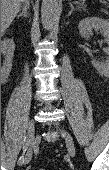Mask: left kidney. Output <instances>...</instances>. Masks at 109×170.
<instances>
[{
    "instance_id": "5707ae66",
    "label": "left kidney",
    "mask_w": 109,
    "mask_h": 170,
    "mask_svg": "<svg viewBox=\"0 0 109 170\" xmlns=\"http://www.w3.org/2000/svg\"><path fill=\"white\" fill-rule=\"evenodd\" d=\"M78 29L80 35L84 38L89 37L92 30L100 31L105 41L109 42V22L105 19H100L98 17L85 18L79 22ZM104 51L109 53V49H104ZM92 65L101 74H107L109 71L108 60L102 62L92 60Z\"/></svg>"
}]
</instances>
